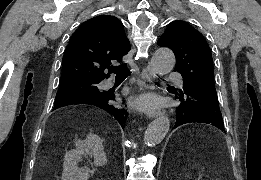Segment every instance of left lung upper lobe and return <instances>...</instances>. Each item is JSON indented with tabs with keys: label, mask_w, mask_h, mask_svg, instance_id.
<instances>
[{
	"label": "left lung upper lobe",
	"mask_w": 261,
	"mask_h": 180,
	"mask_svg": "<svg viewBox=\"0 0 261 180\" xmlns=\"http://www.w3.org/2000/svg\"><path fill=\"white\" fill-rule=\"evenodd\" d=\"M158 45L169 47L174 52V71L179 72L183 79L191 80L204 91L216 94L211 51L199 31L184 21H174L159 38Z\"/></svg>",
	"instance_id": "1"
}]
</instances>
